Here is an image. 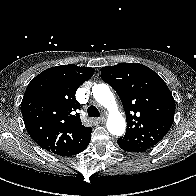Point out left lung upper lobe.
Instances as JSON below:
<instances>
[{"mask_svg":"<svg viewBox=\"0 0 196 196\" xmlns=\"http://www.w3.org/2000/svg\"><path fill=\"white\" fill-rule=\"evenodd\" d=\"M101 78L120 97L127 129L119 139L146 150L169 131L175 114V100L163 79L139 63H119L101 69Z\"/></svg>","mask_w":196,"mask_h":196,"instance_id":"left-lung-upper-lobe-1","label":"left lung upper lobe"}]
</instances>
